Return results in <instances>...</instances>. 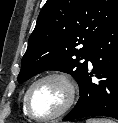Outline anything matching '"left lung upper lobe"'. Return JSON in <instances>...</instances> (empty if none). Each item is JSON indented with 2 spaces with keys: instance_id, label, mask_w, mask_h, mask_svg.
Instances as JSON below:
<instances>
[{
  "instance_id": "5c2ea615",
  "label": "left lung upper lobe",
  "mask_w": 118,
  "mask_h": 123,
  "mask_svg": "<svg viewBox=\"0 0 118 123\" xmlns=\"http://www.w3.org/2000/svg\"><path fill=\"white\" fill-rule=\"evenodd\" d=\"M118 18V0H47L29 37L18 82L45 70L70 73L81 85L91 50Z\"/></svg>"
}]
</instances>
